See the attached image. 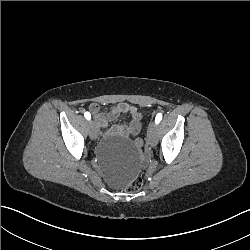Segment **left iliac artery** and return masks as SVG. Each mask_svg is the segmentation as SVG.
<instances>
[{
	"label": "left iliac artery",
	"mask_w": 250,
	"mask_h": 250,
	"mask_svg": "<svg viewBox=\"0 0 250 250\" xmlns=\"http://www.w3.org/2000/svg\"><path fill=\"white\" fill-rule=\"evenodd\" d=\"M161 120H162V114H161V113H158V114L156 115V118H155L156 124H158Z\"/></svg>",
	"instance_id": "obj_1"
}]
</instances>
